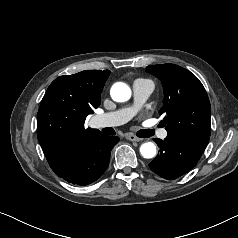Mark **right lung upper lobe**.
I'll list each match as a JSON object with an SVG mask.
<instances>
[{"label":"right lung upper lobe","mask_w":238,"mask_h":238,"mask_svg":"<svg viewBox=\"0 0 238 238\" xmlns=\"http://www.w3.org/2000/svg\"><path fill=\"white\" fill-rule=\"evenodd\" d=\"M109 75V70H85L50 84L37 115V136L46 158L61 152L77 135L96 130L85 129L84 122L100 105Z\"/></svg>","instance_id":"right-lung-upper-lobe-1"}]
</instances>
